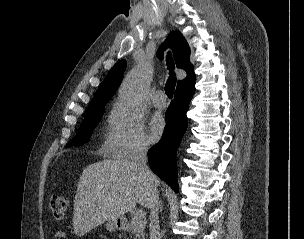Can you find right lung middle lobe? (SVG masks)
I'll list each match as a JSON object with an SVG mask.
<instances>
[{"label": "right lung middle lobe", "instance_id": "dd1d6c3e", "mask_svg": "<svg viewBox=\"0 0 304 239\" xmlns=\"http://www.w3.org/2000/svg\"><path fill=\"white\" fill-rule=\"evenodd\" d=\"M104 105L98 108L87 109L82 115L84 120L81 123L77 135L70 141L66 147L81 146L89 141L91 133L95 126L99 123L102 114L104 113Z\"/></svg>", "mask_w": 304, "mask_h": 239}]
</instances>
